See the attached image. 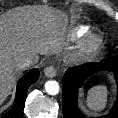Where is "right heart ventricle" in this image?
I'll list each match as a JSON object with an SVG mask.
<instances>
[{
	"mask_svg": "<svg viewBox=\"0 0 118 118\" xmlns=\"http://www.w3.org/2000/svg\"><path fill=\"white\" fill-rule=\"evenodd\" d=\"M89 31H90L89 26H80L75 33V39L82 38L83 36L88 34Z\"/></svg>",
	"mask_w": 118,
	"mask_h": 118,
	"instance_id": "1",
	"label": "right heart ventricle"
}]
</instances>
